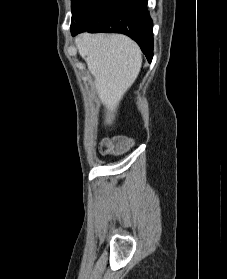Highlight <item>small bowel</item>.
Listing matches in <instances>:
<instances>
[{
    "mask_svg": "<svg viewBox=\"0 0 227 279\" xmlns=\"http://www.w3.org/2000/svg\"><path fill=\"white\" fill-rule=\"evenodd\" d=\"M125 138H119L117 141H124Z\"/></svg>",
    "mask_w": 227,
    "mask_h": 279,
    "instance_id": "small-bowel-1",
    "label": "small bowel"
}]
</instances>
